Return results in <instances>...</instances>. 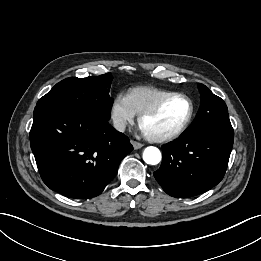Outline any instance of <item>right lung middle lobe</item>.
I'll return each mask as SVG.
<instances>
[{"label": "right lung middle lobe", "mask_w": 261, "mask_h": 261, "mask_svg": "<svg viewBox=\"0 0 261 261\" xmlns=\"http://www.w3.org/2000/svg\"><path fill=\"white\" fill-rule=\"evenodd\" d=\"M112 79L110 73L64 79L40 98L37 106L86 111L108 121L113 104V99L109 96Z\"/></svg>", "instance_id": "right-lung-middle-lobe-1"}]
</instances>
